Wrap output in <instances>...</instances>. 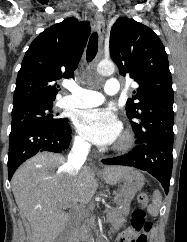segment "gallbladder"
I'll return each mask as SVG.
<instances>
[{
	"label": "gallbladder",
	"instance_id": "obj_1",
	"mask_svg": "<svg viewBox=\"0 0 187 242\" xmlns=\"http://www.w3.org/2000/svg\"><path fill=\"white\" fill-rule=\"evenodd\" d=\"M66 238V232L63 231L60 233V235L57 237V239L55 240V242H64Z\"/></svg>",
	"mask_w": 187,
	"mask_h": 242
}]
</instances>
